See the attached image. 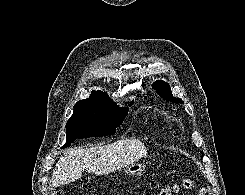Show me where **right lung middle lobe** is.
Here are the masks:
<instances>
[{
    "label": "right lung middle lobe",
    "mask_w": 245,
    "mask_h": 195,
    "mask_svg": "<svg viewBox=\"0 0 245 195\" xmlns=\"http://www.w3.org/2000/svg\"><path fill=\"white\" fill-rule=\"evenodd\" d=\"M128 108H120L115 103L80 100L74 105V113L66 124V144L69 146L77 138L112 135L122 124Z\"/></svg>",
    "instance_id": "1"
}]
</instances>
